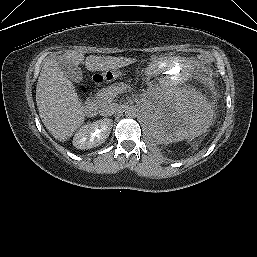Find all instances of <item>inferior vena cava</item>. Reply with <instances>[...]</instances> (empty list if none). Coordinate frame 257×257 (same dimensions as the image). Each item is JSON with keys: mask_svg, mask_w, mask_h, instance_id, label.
<instances>
[{"mask_svg": "<svg viewBox=\"0 0 257 257\" xmlns=\"http://www.w3.org/2000/svg\"><path fill=\"white\" fill-rule=\"evenodd\" d=\"M117 109H118L117 103H108L102 106V108L100 109V114L104 117L112 116L113 114L116 113Z\"/></svg>", "mask_w": 257, "mask_h": 257, "instance_id": "inferior-vena-cava-1", "label": "inferior vena cava"}]
</instances>
